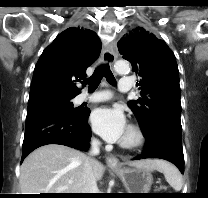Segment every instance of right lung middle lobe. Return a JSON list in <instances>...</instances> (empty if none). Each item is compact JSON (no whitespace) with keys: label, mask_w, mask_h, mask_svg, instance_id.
Masks as SVG:
<instances>
[{"label":"right lung middle lobe","mask_w":208,"mask_h":198,"mask_svg":"<svg viewBox=\"0 0 208 198\" xmlns=\"http://www.w3.org/2000/svg\"><path fill=\"white\" fill-rule=\"evenodd\" d=\"M43 111H63L74 115H82L85 110L80 107H73L71 99H64L44 102L35 106L28 107L27 116Z\"/></svg>","instance_id":"obj_1"}]
</instances>
